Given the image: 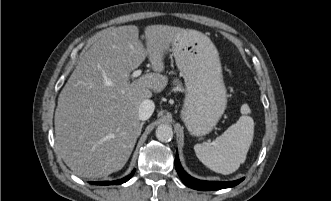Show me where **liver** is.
I'll return each mask as SVG.
<instances>
[{
	"mask_svg": "<svg viewBox=\"0 0 331 201\" xmlns=\"http://www.w3.org/2000/svg\"><path fill=\"white\" fill-rule=\"evenodd\" d=\"M184 32L147 26L144 47L137 26L111 27L81 56L54 117L57 149L76 175L99 178L124 167L142 129L139 106L166 87L164 57ZM146 57L154 72L130 82Z\"/></svg>",
	"mask_w": 331,
	"mask_h": 201,
	"instance_id": "6515ba94",
	"label": "liver"
}]
</instances>
